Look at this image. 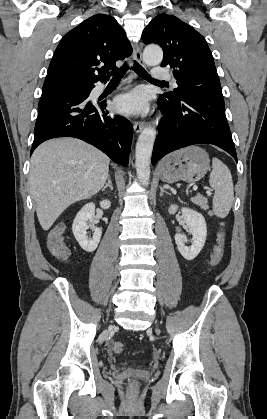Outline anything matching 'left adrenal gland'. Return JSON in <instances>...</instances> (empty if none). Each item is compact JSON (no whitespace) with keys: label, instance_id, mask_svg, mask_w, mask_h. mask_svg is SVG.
<instances>
[{"label":"left adrenal gland","instance_id":"left-adrenal-gland-1","mask_svg":"<svg viewBox=\"0 0 267 419\" xmlns=\"http://www.w3.org/2000/svg\"><path fill=\"white\" fill-rule=\"evenodd\" d=\"M164 193H166V194H170V193H168L167 191H165V190H164V188H163L162 186H160V196L162 197Z\"/></svg>","mask_w":267,"mask_h":419}]
</instances>
